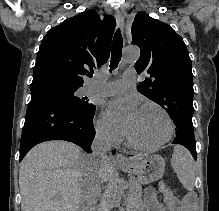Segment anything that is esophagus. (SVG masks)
Masks as SVG:
<instances>
[{
    "label": "esophagus",
    "mask_w": 219,
    "mask_h": 211,
    "mask_svg": "<svg viewBox=\"0 0 219 211\" xmlns=\"http://www.w3.org/2000/svg\"><path fill=\"white\" fill-rule=\"evenodd\" d=\"M115 18H116L117 24L119 25L121 30H123L124 29V17H123V14L120 11H117L116 14H115ZM125 161H126L125 157L122 154H118L117 155V157H116V162L117 163H124Z\"/></svg>",
    "instance_id": "obj_1"
}]
</instances>
